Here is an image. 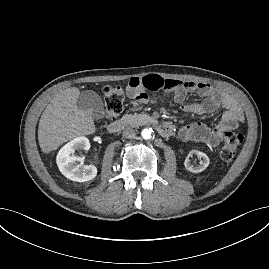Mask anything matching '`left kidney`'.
I'll return each mask as SVG.
<instances>
[{
  "label": "left kidney",
  "instance_id": "5707ae66",
  "mask_svg": "<svg viewBox=\"0 0 269 269\" xmlns=\"http://www.w3.org/2000/svg\"><path fill=\"white\" fill-rule=\"evenodd\" d=\"M193 155L201 158L199 166H193L190 163L189 158L192 157ZM209 163H210V160L205 153L198 151V150H192V151H190L187 158L185 159L184 165L188 171H190L192 173H199V172L204 171L208 167Z\"/></svg>",
  "mask_w": 269,
  "mask_h": 269
}]
</instances>
